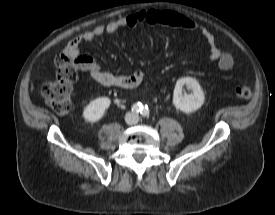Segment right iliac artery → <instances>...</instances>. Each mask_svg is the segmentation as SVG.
I'll use <instances>...</instances> for the list:
<instances>
[{"label": "right iliac artery", "mask_w": 275, "mask_h": 215, "mask_svg": "<svg viewBox=\"0 0 275 215\" xmlns=\"http://www.w3.org/2000/svg\"><path fill=\"white\" fill-rule=\"evenodd\" d=\"M142 110V105L141 103H135L133 106H132V111L135 112V113H139L141 112Z\"/></svg>", "instance_id": "82829eb1"}]
</instances>
